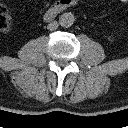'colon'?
<instances>
[{"mask_svg":"<svg viewBox=\"0 0 128 128\" xmlns=\"http://www.w3.org/2000/svg\"><path fill=\"white\" fill-rule=\"evenodd\" d=\"M12 27V17L6 6L0 4V32H8Z\"/></svg>","mask_w":128,"mask_h":128,"instance_id":"colon-1","label":"colon"}]
</instances>
